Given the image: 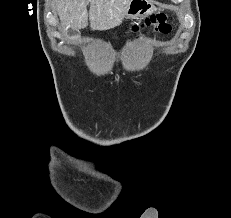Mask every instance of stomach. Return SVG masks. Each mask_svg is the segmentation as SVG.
<instances>
[{
	"label": "stomach",
	"instance_id": "obj_1",
	"mask_svg": "<svg viewBox=\"0 0 231 218\" xmlns=\"http://www.w3.org/2000/svg\"><path fill=\"white\" fill-rule=\"evenodd\" d=\"M154 10L153 0H131L125 11V17L132 20L140 19L152 14Z\"/></svg>",
	"mask_w": 231,
	"mask_h": 218
}]
</instances>
